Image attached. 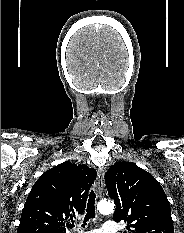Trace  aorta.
I'll return each mask as SVG.
<instances>
[{
  "label": "aorta",
  "instance_id": "762f6f07",
  "mask_svg": "<svg viewBox=\"0 0 184 233\" xmlns=\"http://www.w3.org/2000/svg\"><path fill=\"white\" fill-rule=\"evenodd\" d=\"M98 210L101 214H109L114 210V203L110 201H101L98 204Z\"/></svg>",
  "mask_w": 184,
  "mask_h": 233
}]
</instances>
